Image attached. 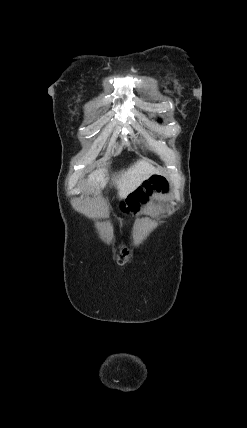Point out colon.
Returning a JSON list of instances; mask_svg holds the SVG:
<instances>
[{"label": "colon", "mask_w": 247, "mask_h": 428, "mask_svg": "<svg viewBox=\"0 0 247 428\" xmlns=\"http://www.w3.org/2000/svg\"><path fill=\"white\" fill-rule=\"evenodd\" d=\"M167 190L166 180L160 176H152L146 180L141 187H139L135 192L130 196V199H114L113 207L114 208H126L124 210H119V215H124L126 217H141L143 215V210L141 208H136L138 202L141 207L146 208L149 205L150 194L153 192H164ZM115 225L114 223L112 224ZM121 228H127L128 222L121 221Z\"/></svg>", "instance_id": "colon-1"}]
</instances>
